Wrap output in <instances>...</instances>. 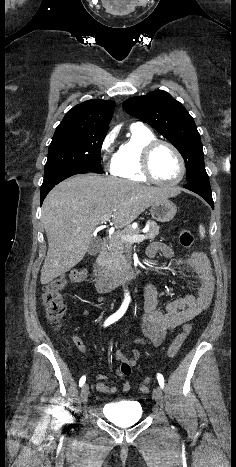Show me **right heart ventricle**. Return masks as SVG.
I'll return each instance as SVG.
<instances>
[{
  "label": "right heart ventricle",
  "mask_w": 236,
  "mask_h": 467,
  "mask_svg": "<svg viewBox=\"0 0 236 467\" xmlns=\"http://www.w3.org/2000/svg\"><path fill=\"white\" fill-rule=\"evenodd\" d=\"M154 133L143 125H131L129 137L115 154L111 174L130 181L146 182L141 171V151L148 142L155 140Z\"/></svg>",
  "instance_id": "1"
}]
</instances>
